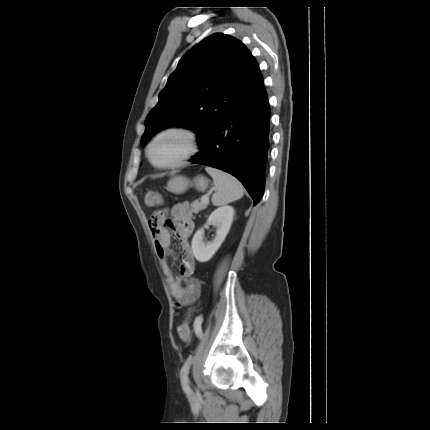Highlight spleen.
<instances>
[{"label": "spleen", "instance_id": "obj_1", "mask_svg": "<svg viewBox=\"0 0 430 430\" xmlns=\"http://www.w3.org/2000/svg\"><path fill=\"white\" fill-rule=\"evenodd\" d=\"M205 170L213 178L215 189L211 199L213 205L224 206L242 198L244 189L236 177L210 166H207Z\"/></svg>", "mask_w": 430, "mask_h": 430}]
</instances>
